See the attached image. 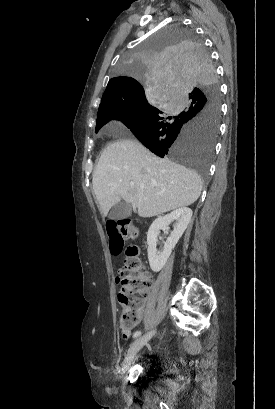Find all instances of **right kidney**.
Instances as JSON below:
<instances>
[{
  "label": "right kidney",
  "mask_w": 275,
  "mask_h": 409,
  "mask_svg": "<svg viewBox=\"0 0 275 409\" xmlns=\"http://www.w3.org/2000/svg\"><path fill=\"white\" fill-rule=\"evenodd\" d=\"M192 217L191 209L188 207H182V209H176L165 217H159L153 221L149 231L147 233L148 247V259L150 267L154 273H159L166 265L175 245H177L180 237H182L184 231H186ZM173 221H177L174 231H172L170 237L164 243L163 251H157V237L160 233V229H169L168 225H171Z\"/></svg>",
  "instance_id": "right-kidney-1"
}]
</instances>
